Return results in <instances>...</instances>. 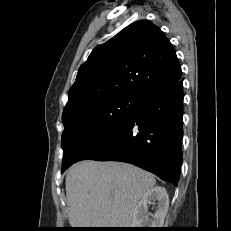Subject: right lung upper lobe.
I'll use <instances>...</instances> for the list:
<instances>
[{"mask_svg": "<svg viewBox=\"0 0 231 231\" xmlns=\"http://www.w3.org/2000/svg\"><path fill=\"white\" fill-rule=\"evenodd\" d=\"M182 76L173 45L159 27L134 22L91 52L81 65L63 116L119 96L173 84Z\"/></svg>", "mask_w": 231, "mask_h": 231, "instance_id": "right-lung-upper-lobe-1", "label": "right lung upper lobe"}]
</instances>
